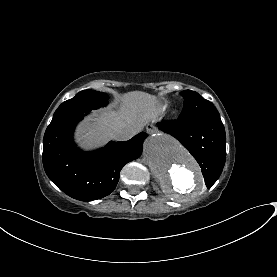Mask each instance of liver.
<instances>
[{
    "instance_id": "liver-1",
    "label": "liver",
    "mask_w": 277,
    "mask_h": 277,
    "mask_svg": "<svg viewBox=\"0 0 277 277\" xmlns=\"http://www.w3.org/2000/svg\"><path fill=\"white\" fill-rule=\"evenodd\" d=\"M124 108L119 114H110L105 118L99 116L86 122L80 130V139L83 142L101 143L113 136L115 130L126 126H140L153 116V96L143 92H131L124 96ZM98 123L101 126L93 129ZM94 136H92V134Z\"/></svg>"
}]
</instances>
